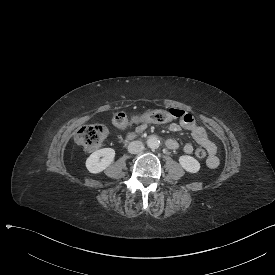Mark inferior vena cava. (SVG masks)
Returning <instances> with one entry per match:
<instances>
[{"mask_svg": "<svg viewBox=\"0 0 275 275\" xmlns=\"http://www.w3.org/2000/svg\"><path fill=\"white\" fill-rule=\"evenodd\" d=\"M144 145L141 141H132L128 145V152L131 154H137L143 151Z\"/></svg>", "mask_w": 275, "mask_h": 275, "instance_id": "1", "label": "inferior vena cava"}]
</instances>
